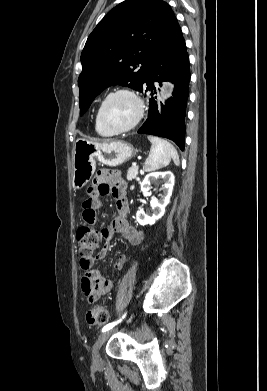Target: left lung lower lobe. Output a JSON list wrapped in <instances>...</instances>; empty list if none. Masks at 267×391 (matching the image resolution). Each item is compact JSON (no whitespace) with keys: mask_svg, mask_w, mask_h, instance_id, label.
I'll return each instance as SVG.
<instances>
[{"mask_svg":"<svg viewBox=\"0 0 267 391\" xmlns=\"http://www.w3.org/2000/svg\"><path fill=\"white\" fill-rule=\"evenodd\" d=\"M171 81L175 88L173 97L158 111L156 97L150 98L148 118L138 133L152 134L174 141L184 150L185 111L189 95V56L178 27L167 41L151 57L147 74L140 92L150 90L153 94L154 82Z\"/></svg>","mask_w":267,"mask_h":391,"instance_id":"obj_1","label":"left lung lower lobe"}]
</instances>
